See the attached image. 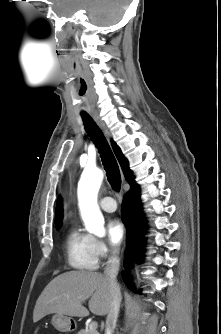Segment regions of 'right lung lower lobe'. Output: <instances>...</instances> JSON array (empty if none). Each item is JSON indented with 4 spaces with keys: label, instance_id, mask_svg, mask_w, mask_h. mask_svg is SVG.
Returning <instances> with one entry per match:
<instances>
[{
    "label": "right lung lower lobe",
    "instance_id": "right-lung-lower-lobe-1",
    "mask_svg": "<svg viewBox=\"0 0 221 334\" xmlns=\"http://www.w3.org/2000/svg\"><path fill=\"white\" fill-rule=\"evenodd\" d=\"M122 211L128 228L127 250L124 260V266L127 272L124 273L123 276L126 284L131 289V281L128 271L130 270L133 261L142 257V235L144 234L146 225L139 204V190L136 183L131 185L130 191L125 195Z\"/></svg>",
    "mask_w": 221,
    "mask_h": 334
}]
</instances>
